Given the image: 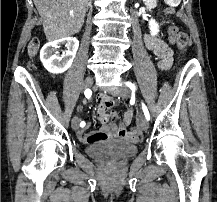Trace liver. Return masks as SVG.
Masks as SVG:
<instances>
[{
	"label": "liver",
	"mask_w": 217,
	"mask_h": 202,
	"mask_svg": "<svg viewBox=\"0 0 217 202\" xmlns=\"http://www.w3.org/2000/svg\"><path fill=\"white\" fill-rule=\"evenodd\" d=\"M48 42L80 32L89 0H33Z\"/></svg>",
	"instance_id": "liver-1"
}]
</instances>
